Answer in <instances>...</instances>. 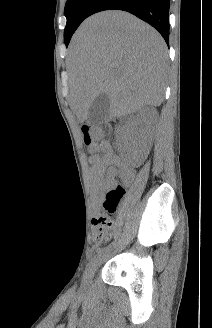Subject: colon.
<instances>
[{
  "mask_svg": "<svg viewBox=\"0 0 212 328\" xmlns=\"http://www.w3.org/2000/svg\"><path fill=\"white\" fill-rule=\"evenodd\" d=\"M82 132L84 144L91 149L104 138L103 131L99 128L85 125L82 128ZM124 192L122 186L116 185L106 193L102 204L103 208L96 220L98 225V241H108L110 239L109 230L113 224L112 215L116 211Z\"/></svg>",
  "mask_w": 212,
  "mask_h": 328,
  "instance_id": "colon-1",
  "label": "colon"
}]
</instances>
